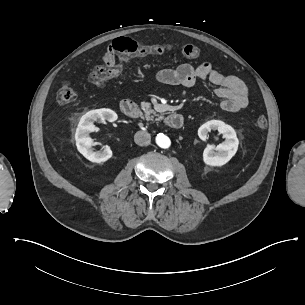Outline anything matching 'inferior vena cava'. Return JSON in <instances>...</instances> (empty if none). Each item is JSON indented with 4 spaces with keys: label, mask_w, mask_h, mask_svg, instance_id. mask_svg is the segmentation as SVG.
Wrapping results in <instances>:
<instances>
[{
    "label": "inferior vena cava",
    "mask_w": 305,
    "mask_h": 305,
    "mask_svg": "<svg viewBox=\"0 0 305 305\" xmlns=\"http://www.w3.org/2000/svg\"><path fill=\"white\" fill-rule=\"evenodd\" d=\"M134 141L139 146H146L150 144L151 136L146 131H138L134 136Z\"/></svg>",
    "instance_id": "inferior-vena-cava-1"
}]
</instances>
